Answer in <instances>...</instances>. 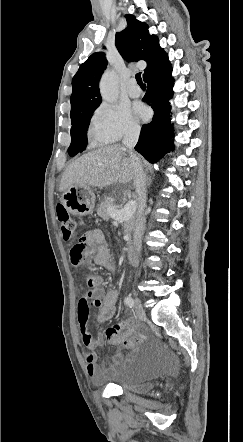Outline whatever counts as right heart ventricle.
Returning <instances> with one entry per match:
<instances>
[{
    "label": "right heart ventricle",
    "instance_id": "e07e8e85",
    "mask_svg": "<svg viewBox=\"0 0 243 442\" xmlns=\"http://www.w3.org/2000/svg\"><path fill=\"white\" fill-rule=\"evenodd\" d=\"M89 141L94 146H102L110 143L105 137H103L93 125L90 127L88 132Z\"/></svg>",
    "mask_w": 243,
    "mask_h": 442
}]
</instances>
